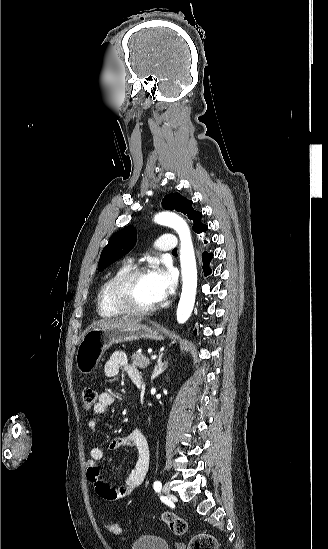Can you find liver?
Instances as JSON below:
<instances>
[{"label": "liver", "mask_w": 328, "mask_h": 549, "mask_svg": "<svg viewBox=\"0 0 328 549\" xmlns=\"http://www.w3.org/2000/svg\"><path fill=\"white\" fill-rule=\"evenodd\" d=\"M141 323L140 319H128V317H122V319H103L96 323L97 329H103V327H132V325H138Z\"/></svg>", "instance_id": "liver-1"}]
</instances>
